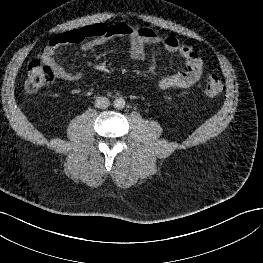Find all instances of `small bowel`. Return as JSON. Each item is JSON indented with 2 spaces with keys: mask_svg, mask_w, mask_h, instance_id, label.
<instances>
[{
  "mask_svg": "<svg viewBox=\"0 0 263 263\" xmlns=\"http://www.w3.org/2000/svg\"><path fill=\"white\" fill-rule=\"evenodd\" d=\"M115 37H124L129 41V54L134 60L144 58L147 44H162L167 51L184 59L185 66L181 71L160 79L158 87L162 91L188 88L202 76L203 61L192 46L181 43L175 36L162 37L149 27H139L128 21L110 25L94 24L58 33L48 40L41 54V61L53 70L57 78L77 81L81 78V73L68 70L58 62L55 58L56 49L62 45L80 44L82 50L88 51Z\"/></svg>",
  "mask_w": 263,
  "mask_h": 263,
  "instance_id": "obj_1",
  "label": "small bowel"
}]
</instances>
